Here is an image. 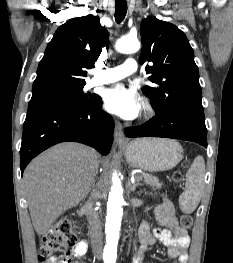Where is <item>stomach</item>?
Segmentation results:
<instances>
[{
	"instance_id": "stomach-1",
	"label": "stomach",
	"mask_w": 233,
	"mask_h": 263,
	"mask_svg": "<svg viewBox=\"0 0 233 263\" xmlns=\"http://www.w3.org/2000/svg\"><path fill=\"white\" fill-rule=\"evenodd\" d=\"M122 150L131 166L149 172L170 170L183 156V148L178 142L164 138L136 139Z\"/></svg>"
}]
</instances>
